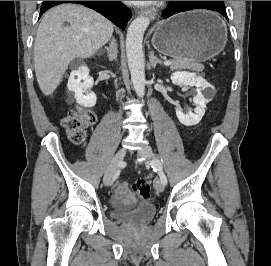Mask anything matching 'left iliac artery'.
I'll use <instances>...</instances> for the list:
<instances>
[{"instance_id":"1","label":"left iliac artery","mask_w":271,"mask_h":266,"mask_svg":"<svg viewBox=\"0 0 271 266\" xmlns=\"http://www.w3.org/2000/svg\"><path fill=\"white\" fill-rule=\"evenodd\" d=\"M152 168L158 172L159 176H160V180L162 181V183L164 185L167 184V178L163 172V168H162V163L159 159H155L151 162Z\"/></svg>"}]
</instances>
